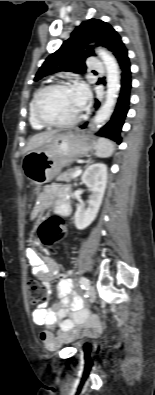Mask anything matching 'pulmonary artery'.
I'll return each instance as SVG.
<instances>
[{
    "mask_svg": "<svg viewBox=\"0 0 155 395\" xmlns=\"http://www.w3.org/2000/svg\"><path fill=\"white\" fill-rule=\"evenodd\" d=\"M89 68L91 70H96V71H101L103 69V66L99 60L96 58H90L89 59Z\"/></svg>",
    "mask_w": 155,
    "mask_h": 395,
    "instance_id": "obj_1",
    "label": "pulmonary artery"
}]
</instances>
